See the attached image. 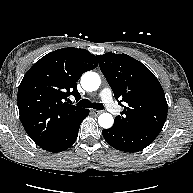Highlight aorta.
Listing matches in <instances>:
<instances>
[{
	"mask_svg": "<svg viewBox=\"0 0 193 193\" xmlns=\"http://www.w3.org/2000/svg\"><path fill=\"white\" fill-rule=\"evenodd\" d=\"M101 84L100 76L96 72L88 71L81 77V86L88 92L95 91ZM114 123L113 116L110 113H102L98 117V124L104 128H111Z\"/></svg>",
	"mask_w": 193,
	"mask_h": 193,
	"instance_id": "aorta-1",
	"label": "aorta"
}]
</instances>
